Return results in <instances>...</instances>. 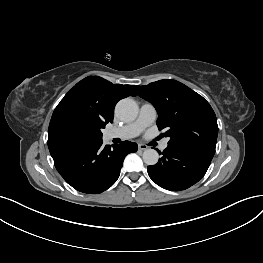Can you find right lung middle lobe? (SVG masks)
I'll return each mask as SVG.
<instances>
[{
  "mask_svg": "<svg viewBox=\"0 0 263 263\" xmlns=\"http://www.w3.org/2000/svg\"><path fill=\"white\" fill-rule=\"evenodd\" d=\"M105 124L90 120V119H76L69 124L71 132L81 136L87 143L95 142L102 139L101 129Z\"/></svg>",
  "mask_w": 263,
  "mask_h": 263,
  "instance_id": "right-lung-middle-lobe-1",
  "label": "right lung middle lobe"
}]
</instances>
